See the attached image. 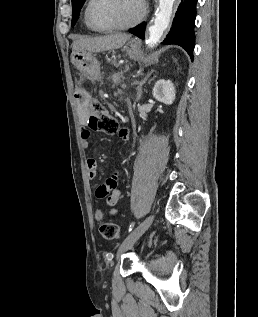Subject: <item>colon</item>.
Listing matches in <instances>:
<instances>
[{
	"mask_svg": "<svg viewBox=\"0 0 258 317\" xmlns=\"http://www.w3.org/2000/svg\"><path fill=\"white\" fill-rule=\"evenodd\" d=\"M88 127L93 131L104 133H116L119 124L116 118L95 99L89 101V120ZM99 221V232L104 239L115 240L120 237V228L113 222L103 221L100 211L96 213Z\"/></svg>",
	"mask_w": 258,
	"mask_h": 317,
	"instance_id": "obj_1",
	"label": "colon"
}]
</instances>
